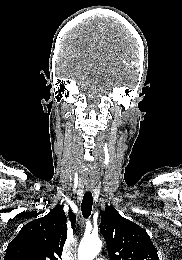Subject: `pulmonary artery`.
<instances>
[{"label": "pulmonary artery", "mask_w": 182, "mask_h": 260, "mask_svg": "<svg viewBox=\"0 0 182 260\" xmlns=\"http://www.w3.org/2000/svg\"><path fill=\"white\" fill-rule=\"evenodd\" d=\"M96 260H103L102 258H98V259H96Z\"/></svg>", "instance_id": "pulmonary-artery-1"}]
</instances>
